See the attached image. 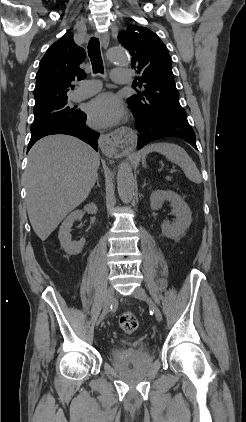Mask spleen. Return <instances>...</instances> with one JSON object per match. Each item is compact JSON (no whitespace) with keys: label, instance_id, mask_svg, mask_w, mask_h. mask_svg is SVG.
Returning a JSON list of instances; mask_svg holds the SVG:
<instances>
[{"label":"spleen","instance_id":"spleen-1","mask_svg":"<svg viewBox=\"0 0 246 422\" xmlns=\"http://www.w3.org/2000/svg\"><path fill=\"white\" fill-rule=\"evenodd\" d=\"M151 152H158L164 155L169 161L179 165L186 177L196 183L202 182L201 174L187 152L179 145L172 143H153L147 146L142 152V163L146 167L145 157Z\"/></svg>","mask_w":246,"mask_h":422}]
</instances>
